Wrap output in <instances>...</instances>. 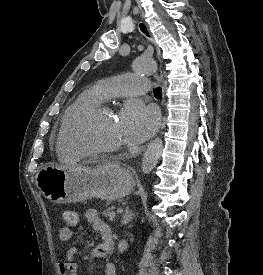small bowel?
Returning <instances> with one entry per match:
<instances>
[{"mask_svg":"<svg viewBox=\"0 0 263 275\" xmlns=\"http://www.w3.org/2000/svg\"><path fill=\"white\" fill-rule=\"evenodd\" d=\"M85 219L92 225V228L101 235L102 242L98 244L92 251V257L101 259L108 257L113 252L112 231L107 223L100 217L96 209H88L85 211ZM74 226H65L59 231V238L66 242L72 239L74 235ZM79 253V246L70 247L64 258L60 261L59 267L65 275H78V264L76 256ZM104 275H117L116 266L113 263H106Z\"/></svg>","mask_w":263,"mask_h":275,"instance_id":"1","label":"small bowel"}]
</instances>
